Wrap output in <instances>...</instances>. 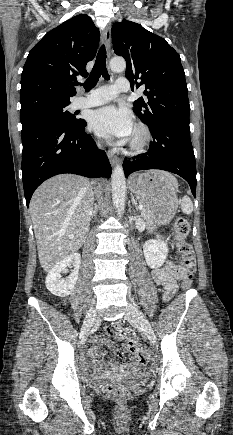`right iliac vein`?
<instances>
[{
	"label": "right iliac vein",
	"mask_w": 233,
	"mask_h": 435,
	"mask_svg": "<svg viewBox=\"0 0 233 435\" xmlns=\"http://www.w3.org/2000/svg\"><path fill=\"white\" fill-rule=\"evenodd\" d=\"M95 320H96V310L94 307H91L86 315V318L81 328V332H80L81 343L83 344L86 343V339L95 323Z\"/></svg>",
	"instance_id": "63e3f726"
}]
</instances>
